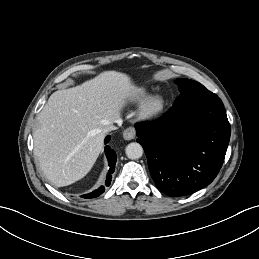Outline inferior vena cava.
<instances>
[{
    "label": "inferior vena cava",
    "instance_id": "obj_1",
    "mask_svg": "<svg viewBox=\"0 0 259 259\" xmlns=\"http://www.w3.org/2000/svg\"><path fill=\"white\" fill-rule=\"evenodd\" d=\"M118 122V121H117ZM117 127L114 125V124H109V125H106L104 128H103V132L104 133H108L110 131H113V130H116Z\"/></svg>",
    "mask_w": 259,
    "mask_h": 259
}]
</instances>
